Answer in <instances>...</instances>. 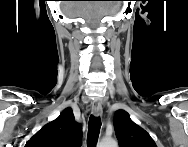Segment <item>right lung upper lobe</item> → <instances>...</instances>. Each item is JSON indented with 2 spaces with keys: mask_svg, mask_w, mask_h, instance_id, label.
<instances>
[{
  "mask_svg": "<svg viewBox=\"0 0 188 147\" xmlns=\"http://www.w3.org/2000/svg\"><path fill=\"white\" fill-rule=\"evenodd\" d=\"M82 126L75 121L71 108L46 124L26 144V147H80Z\"/></svg>",
  "mask_w": 188,
  "mask_h": 147,
  "instance_id": "1",
  "label": "right lung upper lobe"
}]
</instances>
